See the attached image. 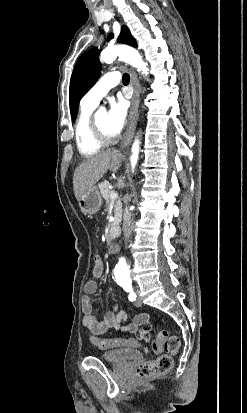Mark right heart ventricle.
I'll list each match as a JSON object with an SVG mask.
<instances>
[{"label":"right heart ventricle","mask_w":247,"mask_h":413,"mask_svg":"<svg viewBox=\"0 0 247 413\" xmlns=\"http://www.w3.org/2000/svg\"><path fill=\"white\" fill-rule=\"evenodd\" d=\"M93 107H88L83 111L76 123V144L80 155L90 158L99 154L103 145L98 143L93 135L92 119L90 111Z\"/></svg>","instance_id":"1"}]
</instances>
